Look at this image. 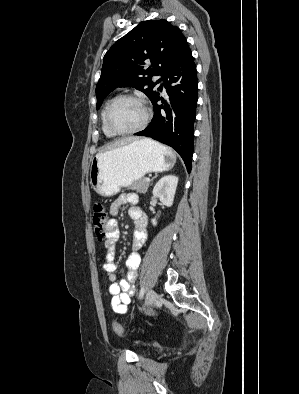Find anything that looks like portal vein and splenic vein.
<instances>
[{"instance_id":"portal-vein-and-splenic-vein-1","label":"portal vein and splenic vein","mask_w":299,"mask_h":394,"mask_svg":"<svg viewBox=\"0 0 299 394\" xmlns=\"http://www.w3.org/2000/svg\"><path fill=\"white\" fill-rule=\"evenodd\" d=\"M145 180H146V182H150V179H149V178H146Z\"/></svg>"}]
</instances>
